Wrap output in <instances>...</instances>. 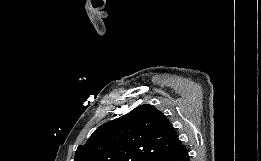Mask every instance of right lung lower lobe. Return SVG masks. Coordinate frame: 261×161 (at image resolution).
<instances>
[{"label":"right lung lower lobe","instance_id":"98d812e1","mask_svg":"<svg viewBox=\"0 0 261 161\" xmlns=\"http://www.w3.org/2000/svg\"><path fill=\"white\" fill-rule=\"evenodd\" d=\"M150 161H190L187 149L184 145L175 151L154 157Z\"/></svg>","mask_w":261,"mask_h":161}]
</instances>
